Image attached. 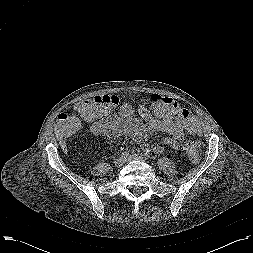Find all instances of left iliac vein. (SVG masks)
<instances>
[{"label": "left iliac vein", "instance_id": "obj_1", "mask_svg": "<svg viewBox=\"0 0 253 253\" xmlns=\"http://www.w3.org/2000/svg\"><path fill=\"white\" fill-rule=\"evenodd\" d=\"M131 160H141V161H143L144 158H142L141 156H138V155H130L125 161H131Z\"/></svg>", "mask_w": 253, "mask_h": 253}]
</instances>
